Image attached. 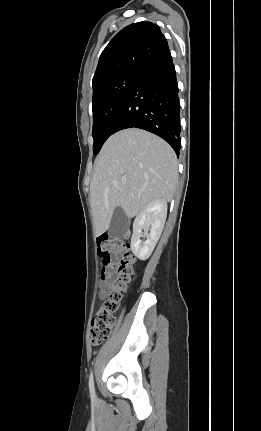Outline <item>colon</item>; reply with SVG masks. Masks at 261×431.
I'll list each match as a JSON object with an SVG mask.
<instances>
[{
    "label": "colon",
    "mask_w": 261,
    "mask_h": 431,
    "mask_svg": "<svg viewBox=\"0 0 261 431\" xmlns=\"http://www.w3.org/2000/svg\"><path fill=\"white\" fill-rule=\"evenodd\" d=\"M97 246L101 264L104 268L113 266L117 277L112 282L107 299L91 321L89 340L95 346L101 344L111 333L123 294L135 274V259L130 253L128 243L119 238L101 235L97 240ZM119 255L122 257L117 260Z\"/></svg>",
    "instance_id": "colon-1"
}]
</instances>
